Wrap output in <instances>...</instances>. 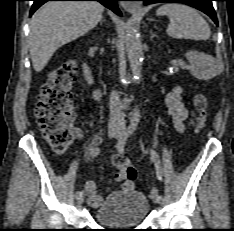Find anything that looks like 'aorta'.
Returning <instances> with one entry per match:
<instances>
[{"mask_svg":"<svg viewBox=\"0 0 234 231\" xmlns=\"http://www.w3.org/2000/svg\"><path fill=\"white\" fill-rule=\"evenodd\" d=\"M125 44L131 71L136 79L141 76L143 50L137 27L129 23L126 28ZM140 118L138 109L132 113L131 121L137 123Z\"/></svg>","mask_w":234,"mask_h":231,"instance_id":"1","label":"aorta"}]
</instances>
